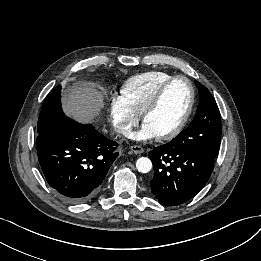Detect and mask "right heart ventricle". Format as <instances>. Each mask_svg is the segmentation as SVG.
I'll list each match as a JSON object with an SVG mask.
<instances>
[{"mask_svg":"<svg viewBox=\"0 0 261 261\" xmlns=\"http://www.w3.org/2000/svg\"><path fill=\"white\" fill-rule=\"evenodd\" d=\"M173 76V74L161 70L134 75L123 83L121 94L133 110L141 115L159 88Z\"/></svg>","mask_w":261,"mask_h":261,"instance_id":"obj_1","label":"right heart ventricle"}]
</instances>
